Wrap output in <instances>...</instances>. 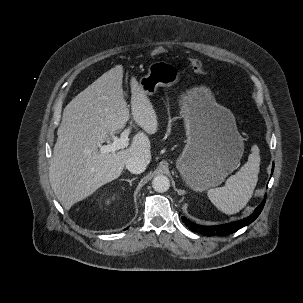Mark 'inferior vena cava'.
<instances>
[{
	"label": "inferior vena cava",
	"instance_id": "obj_1",
	"mask_svg": "<svg viewBox=\"0 0 303 303\" xmlns=\"http://www.w3.org/2000/svg\"><path fill=\"white\" fill-rule=\"evenodd\" d=\"M148 162L139 156H134L126 161V168L133 174H140L145 171Z\"/></svg>",
	"mask_w": 303,
	"mask_h": 303
}]
</instances>
